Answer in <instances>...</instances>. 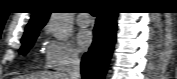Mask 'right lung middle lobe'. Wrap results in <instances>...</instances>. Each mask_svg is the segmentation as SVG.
I'll return each mask as SVG.
<instances>
[{
    "mask_svg": "<svg viewBox=\"0 0 177 79\" xmlns=\"http://www.w3.org/2000/svg\"><path fill=\"white\" fill-rule=\"evenodd\" d=\"M37 36H38V31L31 33L28 37L21 40L23 45L19 53L25 55L30 50V48L33 46Z\"/></svg>",
    "mask_w": 177,
    "mask_h": 79,
    "instance_id": "right-lung-middle-lobe-1",
    "label": "right lung middle lobe"
}]
</instances>
